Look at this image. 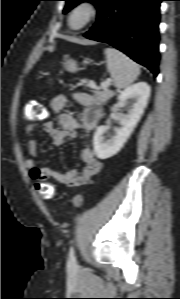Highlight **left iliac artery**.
Instances as JSON below:
<instances>
[{"label":"left iliac artery","mask_w":180,"mask_h":299,"mask_svg":"<svg viewBox=\"0 0 180 299\" xmlns=\"http://www.w3.org/2000/svg\"><path fill=\"white\" fill-rule=\"evenodd\" d=\"M69 259L71 262H75V256H74V248L73 246L70 248V251H69Z\"/></svg>","instance_id":"obj_1"}]
</instances>
